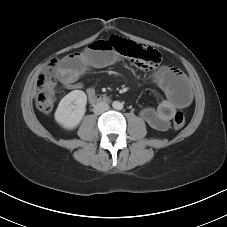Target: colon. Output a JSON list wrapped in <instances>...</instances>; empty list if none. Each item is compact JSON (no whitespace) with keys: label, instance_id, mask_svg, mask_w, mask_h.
Here are the masks:
<instances>
[{"label":"colon","instance_id":"colon-1","mask_svg":"<svg viewBox=\"0 0 227 227\" xmlns=\"http://www.w3.org/2000/svg\"><path fill=\"white\" fill-rule=\"evenodd\" d=\"M105 41L110 44L112 50L130 58L143 69H154L161 61L160 53L150 47H143L130 40L120 37H111ZM57 64L58 61L56 59L51 60L49 70L54 69ZM54 102L55 81L49 74H42L37 81V107L41 112L49 114L54 107ZM184 124L185 114L183 112L175 113L173 118V127L175 129H180L184 126Z\"/></svg>","mask_w":227,"mask_h":227}]
</instances>
